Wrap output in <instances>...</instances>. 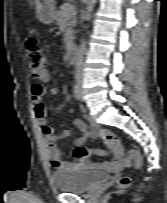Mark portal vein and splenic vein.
<instances>
[{"label":"portal vein and splenic vein","instance_id":"portal-vein-and-splenic-vein-1","mask_svg":"<svg viewBox=\"0 0 167 203\" xmlns=\"http://www.w3.org/2000/svg\"><path fill=\"white\" fill-rule=\"evenodd\" d=\"M66 12L68 13H73L75 11V7L73 5H68L66 8H65Z\"/></svg>","mask_w":167,"mask_h":203}]
</instances>
